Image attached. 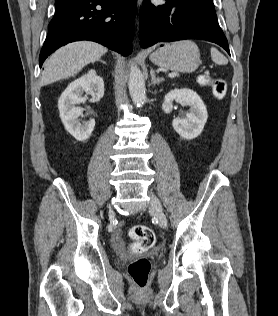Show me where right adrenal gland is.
I'll use <instances>...</instances> for the list:
<instances>
[{
	"label": "right adrenal gland",
	"mask_w": 278,
	"mask_h": 316,
	"mask_svg": "<svg viewBox=\"0 0 278 316\" xmlns=\"http://www.w3.org/2000/svg\"><path fill=\"white\" fill-rule=\"evenodd\" d=\"M101 63H103V64H106V62L105 61H103V60H99Z\"/></svg>",
	"instance_id": "obj_1"
}]
</instances>
